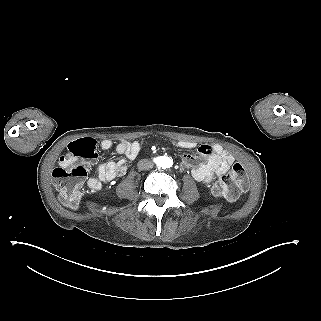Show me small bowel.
Masks as SVG:
<instances>
[{"mask_svg": "<svg viewBox=\"0 0 321 321\" xmlns=\"http://www.w3.org/2000/svg\"><path fill=\"white\" fill-rule=\"evenodd\" d=\"M173 145L193 149L197 144L193 141L181 140L173 141ZM101 147L105 150L113 147L110 139L101 141ZM141 148L139 141L121 140L115 147L118 154L134 159ZM234 162V157L225 151L218 144H203L198 147L193 154L184 155L180 162V167L191 169L193 178L204 184H210L216 176L224 174ZM127 170L126 159L117 161L103 162L97 164V177L90 178L88 185L92 189H100L105 183L114 180L116 177L125 174Z\"/></svg>", "mask_w": 321, "mask_h": 321, "instance_id": "c3829d8e", "label": "small bowel"}]
</instances>
